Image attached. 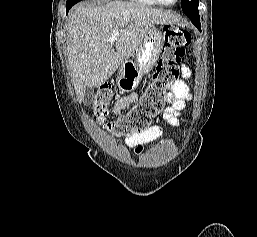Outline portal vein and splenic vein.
<instances>
[{"mask_svg": "<svg viewBox=\"0 0 257 237\" xmlns=\"http://www.w3.org/2000/svg\"><path fill=\"white\" fill-rule=\"evenodd\" d=\"M120 33H122V31H119V30H117V29H114V30L112 31V35H111V37L108 39V41L111 42V43H113V42L115 41L116 37H117Z\"/></svg>", "mask_w": 257, "mask_h": 237, "instance_id": "1", "label": "portal vein and splenic vein"}]
</instances>
